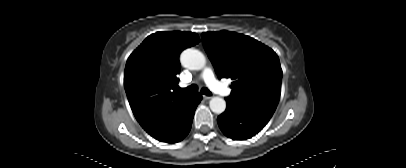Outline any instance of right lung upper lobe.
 Wrapping results in <instances>:
<instances>
[{"instance_id": "1", "label": "right lung upper lobe", "mask_w": 406, "mask_h": 168, "mask_svg": "<svg viewBox=\"0 0 406 168\" xmlns=\"http://www.w3.org/2000/svg\"><path fill=\"white\" fill-rule=\"evenodd\" d=\"M200 42L191 32H157L129 56L124 87L134 116L150 135L191 95L178 93L182 50Z\"/></svg>"}]
</instances>
